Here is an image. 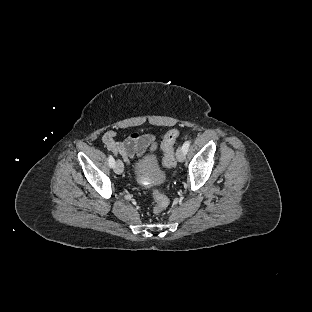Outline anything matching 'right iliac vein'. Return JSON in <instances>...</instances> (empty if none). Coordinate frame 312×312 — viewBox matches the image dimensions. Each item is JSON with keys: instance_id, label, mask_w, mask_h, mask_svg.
<instances>
[{"instance_id": "right-iliac-vein-1", "label": "right iliac vein", "mask_w": 312, "mask_h": 312, "mask_svg": "<svg viewBox=\"0 0 312 312\" xmlns=\"http://www.w3.org/2000/svg\"><path fill=\"white\" fill-rule=\"evenodd\" d=\"M114 171L116 174H121L123 172V163L120 159H117L114 166Z\"/></svg>"}]
</instances>
